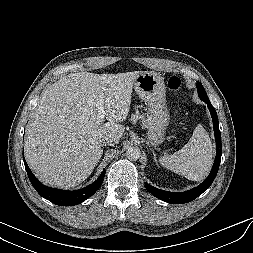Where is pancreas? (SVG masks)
<instances>
[{
    "instance_id": "1",
    "label": "pancreas",
    "mask_w": 253,
    "mask_h": 253,
    "mask_svg": "<svg viewBox=\"0 0 253 253\" xmlns=\"http://www.w3.org/2000/svg\"><path fill=\"white\" fill-rule=\"evenodd\" d=\"M139 119L142 120V123H143V124L146 123V121H145L143 115H140L139 113H136V114L132 115V120H133V121H137V120H139Z\"/></svg>"
}]
</instances>
